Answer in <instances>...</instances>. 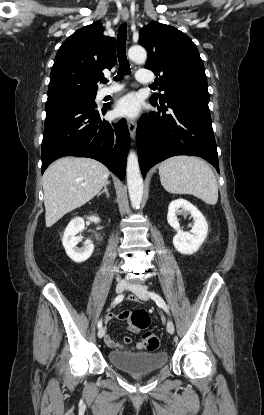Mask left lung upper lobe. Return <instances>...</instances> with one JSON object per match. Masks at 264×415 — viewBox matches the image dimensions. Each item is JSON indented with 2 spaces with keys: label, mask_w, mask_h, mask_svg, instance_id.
Listing matches in <instances>:
<instances>
[{
  "label": "left lung upper lobe",
  "mask_w": 264,
  "mask_h": 415,
  "mask_svg": "<svg viewBox=\"0 0 264 415\" xmlns=\"http://www.w3.org/2000/svg\"><path fill=\"white\" fill-rule=\"evenodd\" d=\"M139 43L146 48L145 68L152 70L163 94L150 102L164 103L181 94L209 96L203 61L192 40L178 29L152 22L140 31Z\"/></svg>",
  "instance_id": "left-lung-upper-lobe-1"
}]
</instances>
